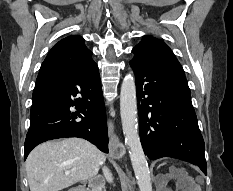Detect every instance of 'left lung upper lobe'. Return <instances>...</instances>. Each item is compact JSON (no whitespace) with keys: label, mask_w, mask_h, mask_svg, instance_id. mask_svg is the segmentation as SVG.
Instances as JSON below:
<instances>
[{"label":"left lung upper lobe","mask_w":233,"mask_h":191,"mask_svg":"<svg viewBox=\"0 0 233 191\" xmlns=\"http://www.w3.org/2000/svg\"><path fill=\"white\" fill-rule=\"evenodd\" d=\"M132 52L134 53L132 60L162 66L184 75L183 68L171 49L159 39L144 36L142 41L133 48Z\"/></svg>","instance_id":"obj_1"}]
</instances>
